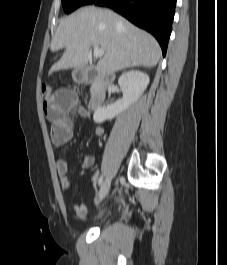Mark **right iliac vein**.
<instances>
[{
	"label": "right iliac vein",
	"instance_id": "63e3f726",
	"mask_svg": "<svg viewBox=\"0 0 227 265\" xmlns=\"http://www.w3.org/2000/svg\"><path fill=\"white\" fill-rule=\"evenodd\" d=\"M110 185H111V179L110 178H107L103 184H102V187L100 189V192H99V200H102L105 198V196L107 195L109 189H110Z\"/></svg>",
	"mask_w": 227,
	"mask_h": 265
}]
</instances>
